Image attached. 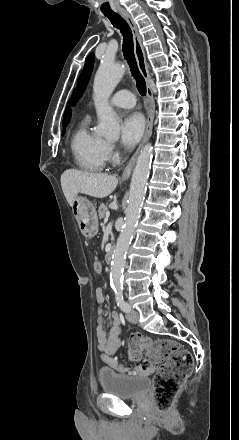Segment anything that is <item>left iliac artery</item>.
Masks as SVG:
<instances>
[{"label": "left iliac artery", "mask_w": 239, "mask_h": 440, "mask_svg": "<svg viewBox=\"0 0 239 440\" xmlns=\"http://www.w3.org/2000/svg\"><path fill=\"white\" fill-rule=\"evenodd\" d=\"M115 291V299L119 308L124 312H129L131 310L130 305L124 300L123 296V288L122 287H114Z\"/></svg>", "instance_id": "1"}]
</instances>
